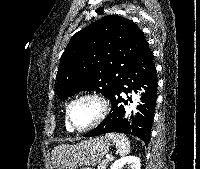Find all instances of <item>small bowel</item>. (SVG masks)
Listing matches in <instances>:
<instances>
[{
  "label": "small bowel",
  "mask_w": 200,
  "mask_h": 169,
  "mask_svg": "<svg viewBox=\"0 0 200 169\" xmlns=\"http://www.w3.org/2000/svg\"><path fill=\"white\" fill-rule=\"evenodd\" d=\"M82 169H91V168H82Z\"/></svg>",
  "instance_id": "1"
}]
</instances>
